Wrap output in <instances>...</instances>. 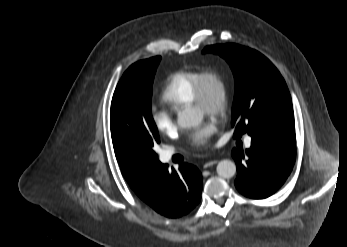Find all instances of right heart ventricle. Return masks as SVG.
<instances>
[{
	"mask_svg": "<svg viewBox=\"0 0 347 247\" xmlns=\"http://www.w3.org/2000/svg\"><path fill=\"white\" fill-rule=\"evenodd\" d=\"M201 71L195 69L179 70L169 75L161 90L160 97L172 108L190 105Z\"/></svg>",
	"mask_w": 347,
	"mask_h": 247,
	"instance_id": "1",
	"label": "right heart ventricle"
}]
</instances>
